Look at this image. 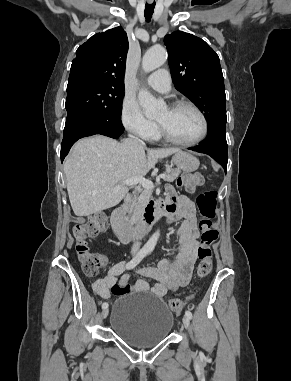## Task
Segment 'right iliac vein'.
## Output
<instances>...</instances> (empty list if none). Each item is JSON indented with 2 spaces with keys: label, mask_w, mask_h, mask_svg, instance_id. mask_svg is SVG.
<instances>
[{
  "label": "right iliac vein",
  "mask_w": 291,
  "mask_h": 381,
  "mask_svg": "<svg viewBox=\"0 0 291 381\" xmlns=\"http://www.w3.org/2000/svg\"><path fill=\"white\" fill-rule=\"evenodd\" d=\"M108 313H109V310L107 308H105L103 311H102V318L105 319L107 316H108Z\"/></svg>",
  "instance_id": "1"
}]
</instances>
